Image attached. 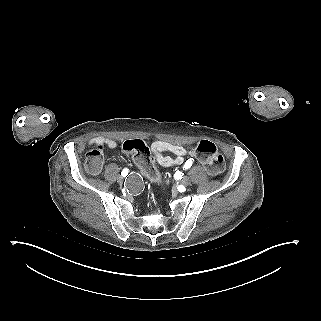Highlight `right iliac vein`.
Wrapping results in <instances>:
<instances>
[{
    "label": "right iliac vein",
    "instance_id": "63e3f726",
    "mask_svg": "<svg viewBox=\"0 0 321 321\" xmlns=\"http://www.w3.org/2000/svg\"><path fill=\"white\" fill-rule=\"evenodd\" d=\"M123 181H124V178H123L122 176L118 175V176H117V182H118L119 184H122Z\"/></svg>",
    "mask_w": 321,
    "mask_h": 321
}]
</instances>
